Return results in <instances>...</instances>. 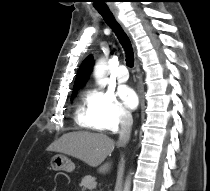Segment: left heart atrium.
I'll return each mask as SVG.
<instances>
[{
  "label": "left heart atrium",
  "mask_w": 210,
  "mask_h": 191,
  "mask_svg": "<svg viewBox=\"0 0 210 191\" xmlns=\"http://www.w3.org/2000/svg\"><path fill=\"white\" fill-rule=\"evenodd\" d=\"M119 95L126 107L134 109L137 106L138 96L132 88L121 86L119 88Z\"/></svg>",
  "instance_id": "1"
}]
</instances>
